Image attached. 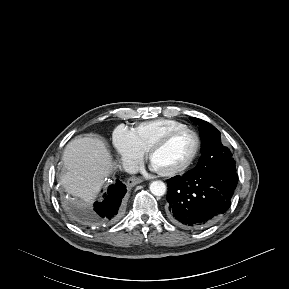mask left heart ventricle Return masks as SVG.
<instances>
[{
    "mask_svg": "<svg viewBox=\"0 0 289 289\" xmlns=\"http://www.w3.org/2000/svg\"><path fill=\"white\" fill-rule=\"evenodd\" d=\"M194 147L195 138L192 134H179L154 154L151 159V167L160 172L177 168L189 159Z\"/></svg>",
    "mask_w": 289,
    "mask_h": 289,
    "instance_id": "b2bd125f",
    "label": "left heart ventricle"
}]
</instances>
